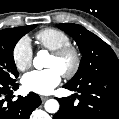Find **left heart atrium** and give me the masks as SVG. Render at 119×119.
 <instances>
[{"label": "left heart atrium", "mask_w": 119, "mask_h": 119, "mask_svg": "<svg viewBox=\"0 0 119 119\" xmlns=\"http://www.w3.org/2000/svg\"><path fill=\"white\" fill-rule=\"evenodd\" d=\"M61 75L56 68L35 70L24 75L22 84L27 91L48 94L61 82Z\"/></svg>", "instance_id": "obj_1"}]
</instances>
